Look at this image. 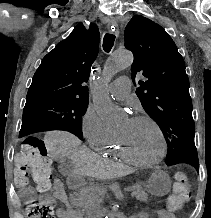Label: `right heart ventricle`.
Instances as JSON below:
<instances>
[{
	"mask_svg": "<svg viewBox=\"0 0 211 218\" xmlns=\"http://www.w3.org/2000/svg\"><path fill=\"white\" fill-rule=\"evenodd\" d=\"M97 151L104 155L112 156L128 163H132L120 150L116 142L115 136L112 137L107 143L99 147Z\"/></svg>",
	"mask_w": 211,
	"mask_h": 218,
	"instance_id": "e07e8e85",
	"label": "right heart ventricle"
}]
</instances>
